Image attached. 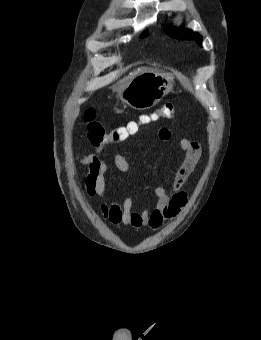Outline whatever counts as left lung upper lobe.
<instances>
[{
	"label": "left lung upper lobe",
	"mask_w": 261,
	"mask_h": 340,
	"mask_svg": "<svg viewBox=\"0 0 261 340\" xmlns=\"http://www.w3.org/2000/svg\"><path fill=\"white\" fill-rule=\"evenodd\" d=\"M167 33L174 38L180 40H195L200 46L202 45V36L199 33H192L191 30L179 27L178 29L167 28Z\"/></svg>",
	"instance_id": "5c2ea615"
}]
</instances>
